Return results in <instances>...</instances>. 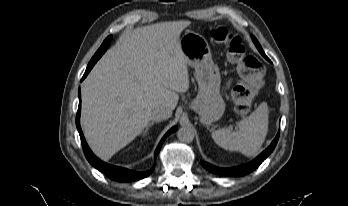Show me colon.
<instances>
[{"mask_svg":"<svg viewBox=\"0 0 348 206\" xmlns=\"http://www.w3.org/2000/svg\"><path fill=\"white\" fill-rule=\"evenodd\" d=\"M214 42L228 49L230 60L238 67L241 79L233 88L232 101L236 112L246 115L250 112L257 90L262 86L265 67L263 63L247 53L243 39L224 27L214 28L206 33Z\"/></svg>","mask_w":348,"mask_h":206,"instance_id":"colon-1","label":"colon"}]
</instances>
